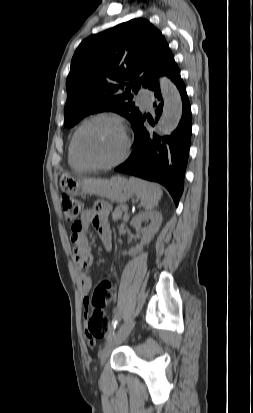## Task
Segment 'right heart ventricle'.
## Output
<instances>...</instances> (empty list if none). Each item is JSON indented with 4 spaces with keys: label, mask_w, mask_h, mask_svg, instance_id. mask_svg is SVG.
I'll return each instance as SVG.
<instances>
[{
    "label": "right heart ventricle",
    "mask_w": 253,
    "mask_h": 413,
    "mask_svg": "<svg viewBox=\"0 0 253 413\" xmlns=\"http://www.w3.org/2000/svg\"><path fill=\"white\" fill-rule=\"evenodd\" d=\"M67 156H68V163L71 167L75 169L85 168V166L82 165L75 156L74 149H73V137L71 138L69 145H68Z\"/></svg>",
    "instance_id": "obj_1"
}]
</instances>
